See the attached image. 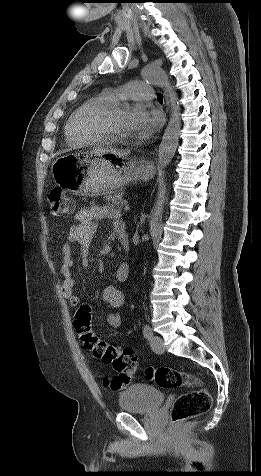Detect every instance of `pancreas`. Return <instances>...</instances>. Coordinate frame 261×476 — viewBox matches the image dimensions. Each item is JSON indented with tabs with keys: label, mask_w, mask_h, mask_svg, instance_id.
I'll list each match as a JSON object with an SVG mask.
<instances>
[{
	"label": "pancreas",
	"mask_w": 261,
	"mask_h": 476,
	"mask_svg": "<svg viewBox=\"0 0 261 476\" xmlns=\"http://www.w3.org/2000/svg\"><path fill=\"white\" fill-rule=\"evenodd\" d=\"M114 207L121 209L124 205V199L121 193L109 194L106 198Z\"/></svg>",
	"instance_id": "pancreas-1"
}]
</instances>
